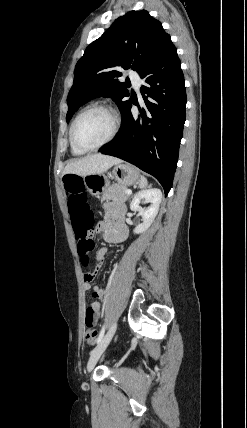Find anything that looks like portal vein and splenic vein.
Masks as SVG:
<instances>
[{"label": "portal vein and splenic vein", "mask_w": 247, "mask_h": 428, "mask_svg": "<svg viewBox=\"0 0 247 428\" xmlns=\"http://www.w3.org/2000/svg\"><path fill=\"white\" fill-rule=\"evenodd\" d=\"M125 193L129 195V194H131V193H132V191H131V190H129V189H127V190L125 191Z\"/></svg>", "instance_id": "portal-vein-and-splenic-vein-1"}]
</instances>
